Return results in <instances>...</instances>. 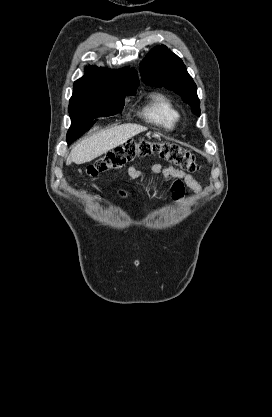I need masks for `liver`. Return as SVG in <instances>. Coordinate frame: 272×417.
<instances>
[{
	"instance_id": "6515ba94",
	"label": "liver",
	"mask_w": 272,
	"mask_h": 417,
	"mask_svg": "<svg viewBox=\"0 0 272 417\" xmlns=\"http://www.w3.org/2000/svg\"><path fill=\"white\" fill-rule=\"evenodd\" d=\"M146 130V127L137 124H123L102 130L78 143L67 158V164L90 162Z\"/></svg>"
}]
</instances>
